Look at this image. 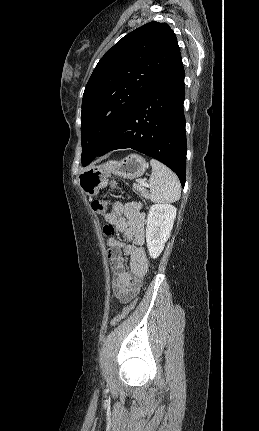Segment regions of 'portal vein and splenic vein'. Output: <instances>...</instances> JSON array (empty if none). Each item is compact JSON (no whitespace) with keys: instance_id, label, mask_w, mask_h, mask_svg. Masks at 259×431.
<instances>
[{"instance_id":"1","label":"portal vein and splenic vein","mask_w":259,"mask_h":431,"mask_svg":"<svg viewBox=\"0 0 259 431\" xmlns=\"http://www.w3.org/2000/svg\"><path fill=\"white\" fill-rule=\"evenodd\" d=\"M138 182H139L140 184H142V185H146L145 180L140 179Z\"/></svg>"}]
</instances>
